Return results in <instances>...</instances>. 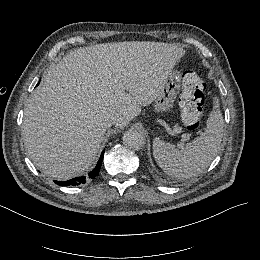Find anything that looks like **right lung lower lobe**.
<instances>
[{
	"label": "right lung lower lobe",
	"instance_id": "obj_1",
	"mask_svg": "<svg viewBox=\"0 0 260 260\" xmlns=\"http://www.w3.org/2000/svg\"><path fill=\"white\" fill-rule=\"evenodd\" d=\"M103 156H104V151L102 152L99 161L96 165V167L94 168V170H92L90 173H88V175L85 176H80V177H76L67 181H54L55 183H57V185L60 186H70V187H75V186H81L83 184H85L89 179H94L99 171H100V167L102 164V160H103Z\"/></svg>",
	"mask_w": 260,
	"mask_h": 260
}]
</instances>
